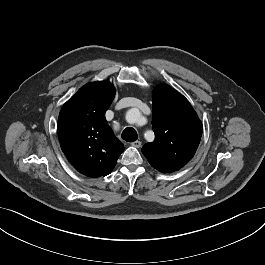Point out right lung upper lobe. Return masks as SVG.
Instances as JSON below:
<instances>
[{
	"label": "right lung upper lobe",
	"instance_id": "obj_1",
	"mask_svg": "<svg viewBox=\"0 0 265 265\" xmlns=\"http://www.w3.org/2000/svg\"><path fill=\"white\" fill-rule=\"evenodd\" d=\"M114 96L110 82L88 83L63 105L59 114L61 149L77 171L88 177L110 174L124 151L105 119Z\"/></svg>",
	"mask_w": 265,
	"mask_h": 265
}]
</instances>
